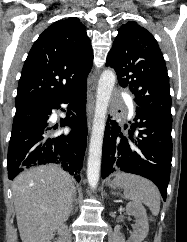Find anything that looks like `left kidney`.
<instances>
[{"label": "left kidney", "instance_id": "obj_1", "mask_svg": "<svg viewBox=\"0 0 187 242\" xmlns=\"http://www.w3.org/2000/svg\"><path fill=\"white\" fill-rule=\"evenodd\" d=\"M126 211L128 215L134 216L136 223L133 226V232L129 240L127 241H125L122 236L120 226H116L114 229L116 242H142L149 231L148 219L144 206L140 203L130 202L126 205Z\"/></svg>", "mask_w": 187, "mask_h": 242}]
</instances>
